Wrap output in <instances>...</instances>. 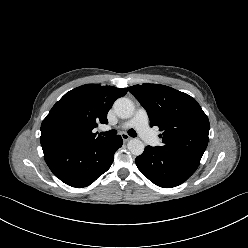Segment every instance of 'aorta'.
<instances>
[{"mask_svg":"<svg viewBox=\"0 0 248 248\" xmlns=\"http://www.w3.org/2000/svg\"><path fill=\"white\" fill-rule=\"evenodd\" d=\"M113 106L117 116L122 119L130 118L134 113V104L127 98L117 99ZM127 148L131 154L139 156L144 151V144L141 140L134 138L128 142Z\"/></svg>","mask_w":248,"mask_h":248,"instance_id":"1","label":"aorta"}]
</instances>
